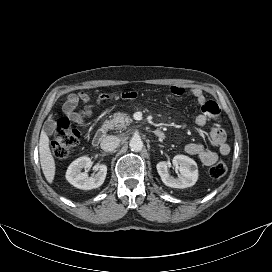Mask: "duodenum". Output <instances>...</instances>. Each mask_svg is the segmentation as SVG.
Wrapping results in <instances>:
<instances>
[{"label": "duodenum", "instance_id": "1", "mask_svg": "<svg viewBox=\"0 0 272 272\" xmlns=\"http://www.w3.org/2000/svg\"><path fill=\"white\" fill-rule=\"evenodd\" d=\"M106 134H107V127L106 126L99 129L93 137V141H92L93 145H95V146L99 145L106 137ZM154 135L159 139H163L165 137L164 132L161 130H158V129L154 131Z\"/></svg>", "mask_w": 272, "mask_h": 272}]
</instances>
